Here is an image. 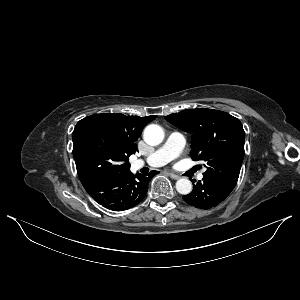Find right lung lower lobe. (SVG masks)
<instances>
[{
	"mask_svg": "<svg viewBox=\"0 0 300 300\" xmlns=\"http://www.w3.org/2000/svg\"><path fill=\"white\" fill-rule=\"evenodd\" d=\"M158 172L133 175L130 171L117 177H103L83 182L88 194L103 207L123 211L138 205L146 196L149 181Z\"/></svg>",
	"mask_w": 300,
	"mask_h": 300,
	"instance_id": "obj_1",
	"label": "right lung lower lobe"
}]
</instances>
